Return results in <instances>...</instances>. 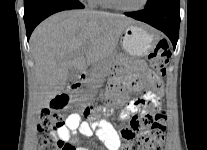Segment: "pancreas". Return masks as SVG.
I'll return each mask as SVG.
<instances>
[{"label": "pancreas", "mask_w": 207, "mask_h": 150, "mask_svg": "<svg viewBox=\"0 0 207 150\" xmlns=\"http://www.w3.org/2000/svg\"><path fill=\"white\" fill-rule=\"evenodd\" d=\"M106 72L107 71L105 65L103 64L96 65L94 68V76L91 79V83L92 84L100 83L102 81L101 79L103 78V76H105Z\"/></svg>", "instance_id": "cf45deb5"}]
</instances>
